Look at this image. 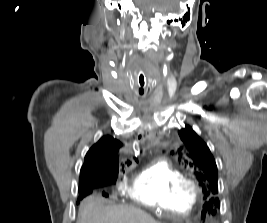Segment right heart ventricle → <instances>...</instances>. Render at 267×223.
Wrapping results in <instances>:
<instances>
[{
  "instance_id": "1",
  "label": "right heart ventricle",
  "mask_w": 267,
  "mask_h": 223,
  "mask_svg": "<svg viewBox=\"0 0 267 223\" xmlns=\"http://www.w3.org/2000/svg\"><path fill=\"white\" fill-rule=\"evenodd\" d=\"M186 179L182 170L166 160H159L138 173L124 192L140 206L186 214L196 202L183 188Z\"/></svg>"
}]
</instances>
